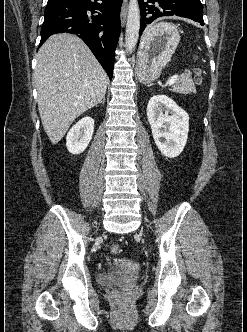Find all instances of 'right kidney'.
<instances>
[{"label": "right kidney", "mask_w": 247, "mask_h": 332, "mask_svg": "<svg viewBox=\"0 0 247 332\" xmlns=\"http://www.w3.org/2000/svg\"><path fill=\"white\" fill-rule=\"evenodd\" d=\"M94 132V120L84 117L79 120L66 136V147L72 154L82 153L89 145Z\"/></svg>", "instance_id": "right-kidney-1"}]
</instances>
